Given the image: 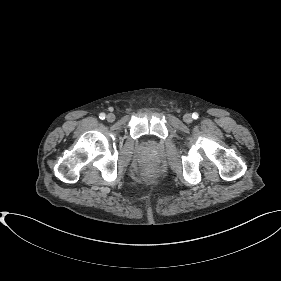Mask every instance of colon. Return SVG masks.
<instances>
[{
	"label": "colon",
	"instance_id": "1",
	"mask_svg": "<svg viewBox=\"0 0 281 281\" xmlns=\"http://www.w3.org/2000/svg\"><path fill=\"white\" fill-rule=\"evenodd\" d=\"M153 176H154V172L152 170L147 171L146 174H145L146 178H151Z\"/></svg>",
	"mask_w": 281,
	"mask_h": 281
}]
</instances>
